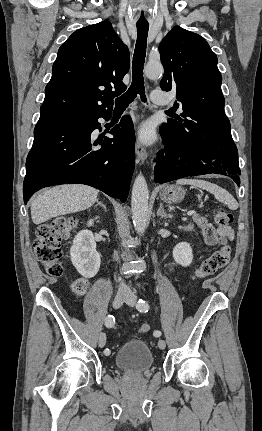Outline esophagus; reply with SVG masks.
<instances>
[{
    "label": "esophagus",
    "instance_id": "esophagus-1",
    "mask_svg": "<svg viewBox=\"0 0 262 431\" xmlns=\"http://www.w3.org/2000/svg\"><path fill=\"white\" fill-rule=\"evenodd\" d=\"M135 151H136L138 161L140 163H144V161L147 159L148 153L139 140L136 141Z\"/></svg>",
    "mask_w": 262,
    "mask_h": 431
}]
</instances>
